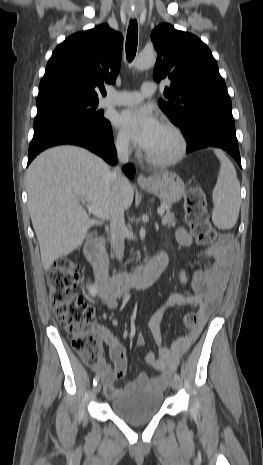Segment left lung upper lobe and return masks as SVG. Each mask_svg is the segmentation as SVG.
<instances>
[{"label": "left lung upper lobe", "mask_w": 263, "mask_h": 465, "mask_svg": "<svg viewBox=\"0 0 263 465\" xmlns=\"http://www.w3.org/2000/svg\"><path fill=\"white\" fill-rule=\"evenodd\" d=\"M158 53L153 78H169V101L159 106L183 133L194 130L207 115L233 118L231 99L209 48L195 35L163 23L151 33Z\"/></svg>", "instance_id": "5c2ea615"}]
</instances>
